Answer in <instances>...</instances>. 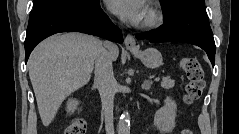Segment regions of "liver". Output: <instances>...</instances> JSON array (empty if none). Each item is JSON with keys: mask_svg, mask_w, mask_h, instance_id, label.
<instances>
[{"mask_svg": "<svg viewBox=\"0 0 239 134\" xmlns=\"http://www.w3.org/2000/svg\"><path fill=\"white\" fill-rule=\"evenodd\" d=\"M102 47L97 38L80 33L57 34L42 41L28 60L29 77L44 126H49L63 100L86 85L94 66V53ZM111 58L119 55L109 46Z\"/></svg>", "mask_w": 239, "mask_h": 134, "instance_id": "1", "label": "liver"}]
</instances>
